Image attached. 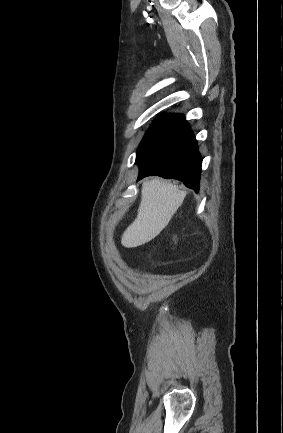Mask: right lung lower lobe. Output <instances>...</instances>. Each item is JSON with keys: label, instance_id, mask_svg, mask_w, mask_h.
Masks as SVG:
<instances>
[{"label": "right lung lower lobe", "instance_id": "right-lung-lower-lobe-1", "mask_svg": "<svg viewBox=\"0 0 283 433\" xmlns=\"http://www.w3.org/2000/svg\"><path fill=\"white\" fill-rule=\"evenodd\" d=\"M136 163L137 180L151 175L174 178L198 192L202 159L181 114L162 116L153 123L138 147Z\"/></svg>", "mask_w": 283, "mask_h": 433}]
</instances>
